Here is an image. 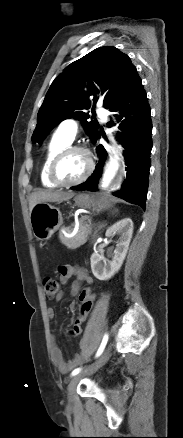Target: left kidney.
Listing matches in <instances>:
<instances>
[{
    "label": "left kidney",
    "instance_id": "left-kidney-1",
    "mask_svg": "<svg viewBox=\"0 0 183 438\" xmlns=\"http://www.w3.org/2000/svg\"><path fill=\"white\" fill-rule=\"evenodd\" d=\"M115 234L120 235V240L114 251L112 261L105 260L98 252H94L91 255V270L93 275L99 280H109L120 270L133 234L132 220L130 218H124L116 222L106 230L105 236L111 237Z\"/></svg>",
    "mask_w": 183,
    "mask_h": 438
}]
</instances>
